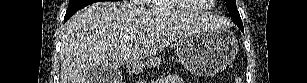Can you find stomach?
Returning <instances> with one entry per match:
<instances>
[{
  "instance_id": "1",
  "label": "stomach",
  "mask_w": 307,
  "mask_h": 83,
  "mask_svg": "<svg viewBox=\"0 0 307 83\" xmlns=\"http://www.w3.org/2000/svg\"><path fill=\"white\" fill-rule=\"evenodd\" d=\"M238 52V42L228 30H206L184 36L177 41L181 64L192 74L212 76L226 68ZM151 59L149 65H157Z\"/></svg>"
}]
</instances>
